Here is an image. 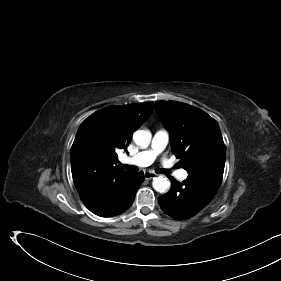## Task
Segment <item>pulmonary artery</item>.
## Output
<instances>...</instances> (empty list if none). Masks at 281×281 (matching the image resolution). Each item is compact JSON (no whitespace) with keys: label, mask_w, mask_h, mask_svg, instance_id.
Masks as SVG:
<instances>
[{"label":"pulmonary artery","mask_w":281,"mask_h":281,"mask_svg":"<svg viewBox=\"0 0 281 281\" xmlns=\"http://www.w3.org/2000/svg\"><path fill=\"white\" fill-rule=\"evenodd\" d=\"M169 143V133L164 129L157 130L152 138L151 145L148 149L143 150L133 156L123 158V161L130 164H135L138 166H148L155 158L163 152ZM165 167H169V162H164ZM175 176L184 180L188 177V173L185 170L175 171Z\"/></svg>","instance_id":"obj_1"}]
</instances>
